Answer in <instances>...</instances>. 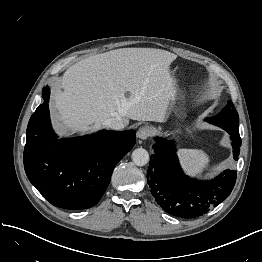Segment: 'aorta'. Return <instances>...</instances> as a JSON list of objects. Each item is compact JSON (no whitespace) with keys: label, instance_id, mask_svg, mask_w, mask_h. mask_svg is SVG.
<instances>
[{"label":"aorta","instance_id":"obj_1","mask_svg":"<svg viewBox=\"0 0 262 262\" xmlns=\"http://www.w3.org/2000/svg\"><path fill=\"white\" fill-rule=\"evenodd\" d=\"M132 161L137 166H144L149 162V154L144 148H137L132 152Z\"/></svg>","mask_w":262,"mask_h":262}]
</instances>
